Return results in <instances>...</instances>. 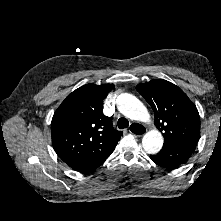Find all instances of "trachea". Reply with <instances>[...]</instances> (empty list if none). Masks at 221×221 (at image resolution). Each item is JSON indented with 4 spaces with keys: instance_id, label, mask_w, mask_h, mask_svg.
Segmentation results:
<instances>
[{
    "instance_id": "3493384b",
    "label": "trachea",
    "mask_w": 221,
    "mask_h": 221,
    "mask_svg": "<svg viewBox=\"0 0 221 221\" xmlns=\"http://www.w3.org/2000/svg\"><path fill=\"white\" fill-rule=\"evenodd\" d=\"M118 128L119 129H124L127 128L129 126V122L126 118H120L117 122Z\"/></svg>"
}]
</instances>
